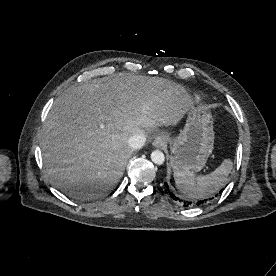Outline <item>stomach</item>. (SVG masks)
Masks as SVG:
<instances>
[{
  "label": "stomach",
  "mask_w": 276,
  "mask_h": 276,
  "mask_svg": "<svg viewBox=\"0 0 276 276\" xmlns=\"http://www.w3.org/2000/svg\"><path fill=\"white\" fill-rule=\"evenodd\" d=\"M213 118L204 110L188 112L181 133L171 140L170 165L174 171H201L214 147Z\"/></svg>",
  "instance_id": "obj_1"
}]
</instances>
